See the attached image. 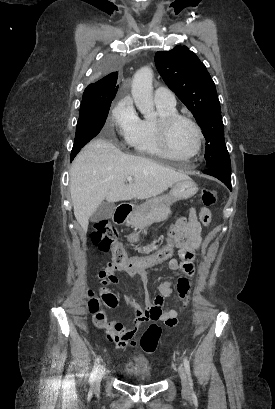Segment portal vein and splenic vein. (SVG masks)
<instances>
[{"instance_id": "obj_1", "label": "portal vein and splenic vein", "mask_w": 275, "mask_h": 409, "mask_svg": "<svg viewBox=\"0 0 275 409\" xmlns=\"http://www.w3.org/2000/svg\"><path fill=\"white\" fill-rule=\"evenodd\" d=\"M127 180H129V182H131V180H133L132 176H127Z\"/></svg>"}]
</instances>
